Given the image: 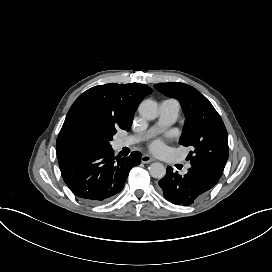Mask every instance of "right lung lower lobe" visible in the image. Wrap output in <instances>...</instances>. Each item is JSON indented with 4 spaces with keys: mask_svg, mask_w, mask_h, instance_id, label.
Returning <instances> with one entry per match:
<instances>
[{
    "mask_svg": "<svg viewBox=\"0 0 272 272\" xmlns=\"http://www.w3.org/2000/svg\"><path fill=\"white\" fill-rule=\"evenodd\" d=\"M140 153L114 156L112 148L90 149L58 158L60 171L69 189L90 204L108 201L124 187L129 171L140 164Z\"/></svg>",
    "mask_w": 272,
    "mask_h": 272,
    "instance_id": "right-lung-lower-lobe-1",
    "label": "right lung lower lobe"
}]
</instances>
